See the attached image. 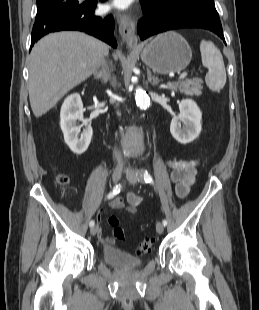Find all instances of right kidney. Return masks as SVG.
Wrapping results in <instances>:
<instances>
[{"label": "right kidney", "mask_w": 259, "mask_h": 310, "mask_svg": "<svg viewBox=\"0 0 259 310\" xmlns=\"http://www.w3.org/2000/svg\"><path fill=\"white\" fill-rule=\"evenodd\" d=\"M83 112V103L78 93H73L64 100L60 112V127L64 141L77 155L83 154L88 149L93 135L91 125L83 118ZM77 120L82 121V125L78 126Z\"/></svg>", "instance_id": "ca27d5eb"}]
</instances>
